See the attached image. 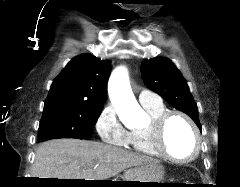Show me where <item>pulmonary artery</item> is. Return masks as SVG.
<instances>
[{
  "label": "pulmonary artery",
  "mask_w": 240,
  "mask_h": 187,
  "mask_svg": "<svg viewBox=\"0 0 240 187\" xmlns=\"http://www.w3.org/2000/svg\"><path fill=\"white\" fill-rule=\"evenodd\" d=\"M138 99L143 106L158 105L162 103L161 98L149 90H142L138 95Z\"/></svg>",
  "instance_id": "1"
}]
</instances>
